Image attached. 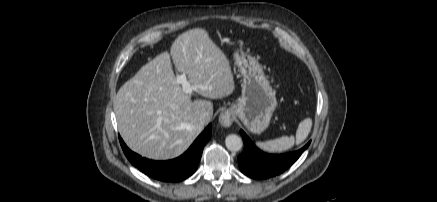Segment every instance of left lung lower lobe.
<instances>
[{
  "label": "left lung lower lobe",
  "instance_id": "left-lung-lower-lobe-1",
  "mask_svg": "<svg viewBox=\"0 0 437 202\" xmlns=\"http://www.w3.org/2000/svg\"><path fill=\"white\" fill-rule=\"evenodd\" d=\"M244 141V151L238 156L239 168L253 179H267L286 171L305 151L310 142L295 152L274 155L259 150L250 138L240 130Z\"/></svg>",
  "mask_w": 437,
  "mask_h": 202
}]
</instances>
